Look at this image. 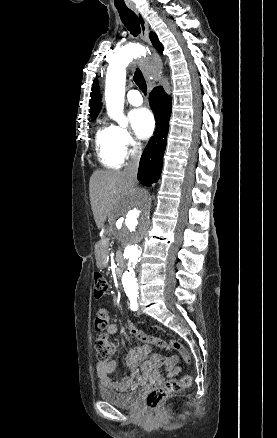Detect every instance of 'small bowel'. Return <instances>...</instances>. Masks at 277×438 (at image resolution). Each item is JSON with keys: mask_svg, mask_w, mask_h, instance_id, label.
I'll list each match as a JSON object with an SVG mask.
<instances>
[{"mask_svg": "<svg viewBox=\"0 0 277 438\" xmlns=\"http://www.w3.org/2000/svg\"><path fill=\"white\" fill-rule=\"evenodd\" d=\"M129 333H137V326H129L127 328ZM107 332L111 335L118 333V325L111 323L107 326ZM138 340L144 341L147 338L146 333L140 332L137 335ZM150 348L148 346H136L131 349L126 356V364L130 368L128 376L122 373L115 374L117 363L115 361H100L96 365L97 377L101 384L107 387L114 388L118 391L125 392L132 388L136 380L142 378L138 372L137 367L140 366L142 374L148 375L149 372L158 365L164 366L166 377L170 378L180 372L181 368L177 365V360L174 357H163L156 355L150 360H144L149 354Z\"/></svg>", "mask_w": 277, "mask_h": 438, "instance_id": "1", "label": "small bowel"}]
</instances>
